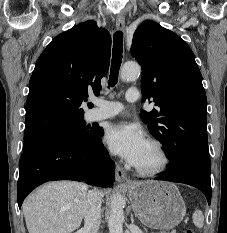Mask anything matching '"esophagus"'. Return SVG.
<instances>
[{
  "mask_svg": "<svg viewBox=\"0 0 227 233\" xmlns=\"http://www.w3.org/2000/svg\"><path fill=\"white\" fill-rule=\"evenodd\" d=\"M124 27H125V16L123 13H119L116 16V29L121 31L124 29ZM115 178H116V181L120 184H124V185L128 184L126 173L119 164L116 165Z\"/></svg>",
  "mask_w": 227,
  "mask_h": 233,
  "instance_id": "obj_1",
  "label": "esophagus"
}]
</instances>
